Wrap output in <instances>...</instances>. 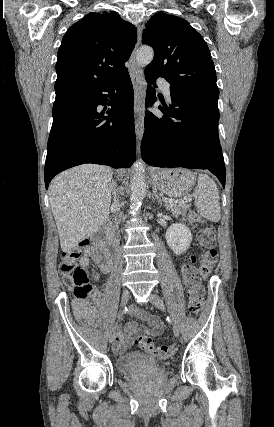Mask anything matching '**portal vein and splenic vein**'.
Returning <instances> with one entry per match:
<instances>
[{
    "label": "portal vein and splenic vein",
    "instance_id": "18ae733b",
    "mask_svg": "<svg viewBox=\"0 0 274 427\" xmlns=\"http://www.w3.org/2000/svg\"><path fill=\"white\" fill-rule=\"evenodd\" d=\"M190 200V198H189ZM164 202H167V200H164ZM171 204H184L183 200H175V202H171Z\"/></svg>",
    "mask_w": 274,
    "mask_h": 427
}]
</instances>
